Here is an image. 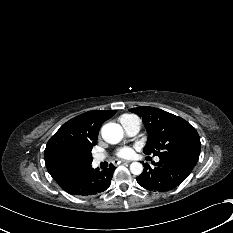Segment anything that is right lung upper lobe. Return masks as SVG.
Returning <instances> with one entry per match:
<instances>
[{"label":"right lung upper lobe","mask_w":233,"mask_h":233,"mask_svg":"<svg viewBox=\"0 0 233 233\" xmlns=\"http://www.w3.org/2000/svg\"><path fill=\"white\" fill-rule=\"evenodd\" d=\"M116 110H92L64 123L46 145L44 159L53 179L61 188L89 167L91 150L97 144L102 123Z\"/></svg>","instance_id":"obj_1"}]
</instances>
